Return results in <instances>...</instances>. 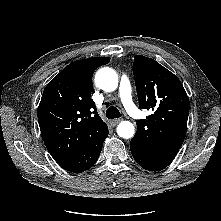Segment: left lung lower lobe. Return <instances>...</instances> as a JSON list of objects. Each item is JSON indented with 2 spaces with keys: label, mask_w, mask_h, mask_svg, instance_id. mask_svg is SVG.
Wrapping results in <instances>:
<instances>
[{
  "label": "left lung lower lobe",
  "mask_w": 221,
  "mask_h": 221,
  "mask_svg": "<svg viewBox=\"0 0 221 221\" xmlns=\"http://www.w3.org/2000/svg\"><path fill=\"white\" fill-rule=\"evenodd\" d=\"M130 149L135 161L144 169L149 171L164 169L172 162V160L158 159L147 155L132 142L130 143Z\"/></svg>",
  "instance_id": "left-lung-lower-lobe-1"
}]
</instances>
